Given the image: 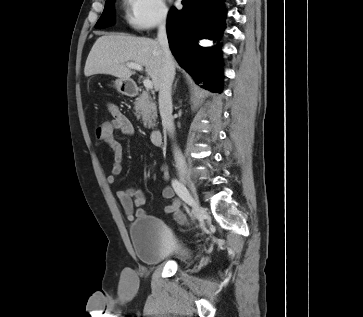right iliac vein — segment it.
<instances>
[{
    "label": "right iliac vein",
    "instance_id": "1",
    "mask_svg": "<svg viewBox=\"0 0 363 317\" xmlns=\"http://www.w3.org/2000/svg\"><path fill=\"white\" fill-rule=\"evenodd\" d=\"M181 180L183 182H185L186 184H188L192 194H193V198H194V205H193V209H194V212H195V216L198 214V212L200 211L201 209V205L199 203V200H198V196H197V193H196V188L193 184V182L188 178V176L186 175H181Z\"/></svg>",
    "mask_w": 363,
    "mask_h": 317
}]
</instances>
